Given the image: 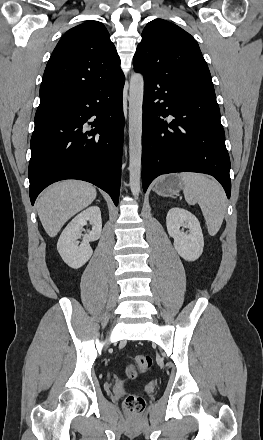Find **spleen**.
I'll use <instances>...</instances> for the list:
<instances>
[{"instance_id": "obj_1", "label": "spleen", "mask_w": 263, "mask_h": 440, "mask_svg": "<svg viewBox=\"0 0 263 440\" xmlns=\"http://www.w3.org/2000/svg\"><path fill=\"white\" fill-rule=\"evenodd\" d=\"M178 177L183 183L185 200L190 205L199 204L209 234L216 235L226 212V194L222 186L201 173L184 172Z\"/></svg>"}]
</instances>
